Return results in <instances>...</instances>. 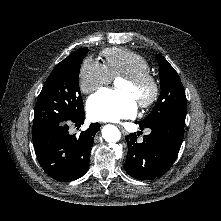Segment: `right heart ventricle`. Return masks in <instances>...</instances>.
<instances>
[{
    "instance_id": "e07e8e85",
    "label": "right heart ventricle",
    "mask_w": 221,
    "mask_h": 221,
    "mask_svg": "<svg viewBox=\"0 0 221 221\" xmlns=\"http://www.w3.org/2000/svg\"><path fill=\"white\" fill-rule=\"evenodd\" d=\"M101 58L111 78L150 71L149 62L142 55L128 49L109 48L101 53Z\"/></svg>"
}]
</instances>
